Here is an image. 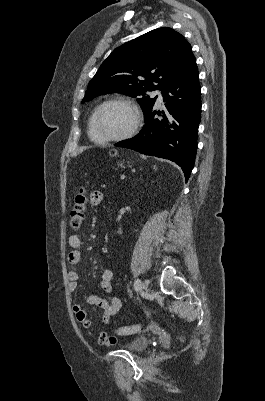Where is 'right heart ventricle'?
I'll return each instance as SVG.
<instances>
[{"label": "right heart ventricle", "mask_w": 265, "mask_h": 401, "mask_svg": "<svg viewBox=\"0 0 265 401\" xmlns=\"http://www.w3.org/2000/svg\"><path fill=\"white\" fill-rule=\"evenodd\" d=\"M96 111V110H95ZM94 111V112H95ZM94 114V113H93ZM93 114L90 116V119L92 118V116H93ZM90 119H89V122H90ZM88 134H89V123H88ZM90 136V135H89ZM91 138V137H90Z\"/></svg>", "instance_id": "right-heart-ventricle-1"}]
</instances>
